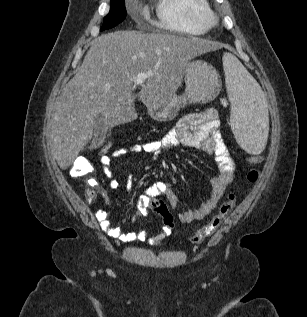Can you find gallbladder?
Here are the masks:
<instances>
[{"label":"gallbladder","instance_id":"obj_1","mask_svg":"<svg viewBox=\"0 0 307 317\" xmlns=\"http://www.w3.org/2000/svg\"><path fill=\"white\" fill-rule=\"evenodd\" d=\"M108 126L104 121L103 115H98L94 120V134L90 144V149L101 146L107 137Z\"/></svg>","mask_w":307,"mask_h":317}]
</instances>
